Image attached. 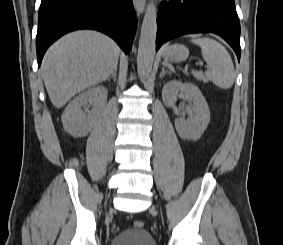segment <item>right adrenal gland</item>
<instances>
[{
	"label": "right adrenal gland",
	"mask_w": 283,
	"mask_h": 245,
	"mask_svg": "<svg viewBox=\"0 0 283 245\" xmlns=\"http://www.w3.org/2000/svg\"><path fill=\"white\" fill-rule=\"evenodd\" d=\"M116 76H117V68L112 72V75L108 77L107 81H110L113 78L114 82H116Z\"/></svg>",
	"instance_id": "right-adrenal-gland-1"
}]
</instances>
